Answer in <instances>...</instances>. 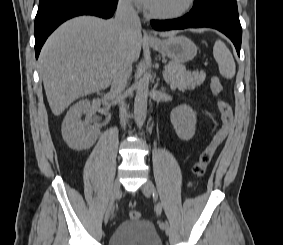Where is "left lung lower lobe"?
Wrapping results in <instances>:
<instances>
[{"mask_svg":"<svg viewBox=\"0 0 283 245\" xmlns=\"http://www.w3.org/2000/svg\"><path fill=\"white\" fill-rule=\"evenodd\" d=\"M156 30L209 27L219 30L231 39L240 55L242 28L239 17L220 13H193L172 20H153L150 22Z\"/></svg>","mask_w":283,"mask_h":245,"instance_id":"0a47b994","label":"left lung lower lobe"}]
</instances>
